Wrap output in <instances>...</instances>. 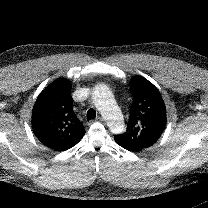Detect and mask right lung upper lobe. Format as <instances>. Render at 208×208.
Listing matches in <instances>:
<instances>
[{"label":"right lung upper lobe","instance_id":"right-lung-upper-lobe-1","mask_svg":"<svg viewBox=\"0 0 208 208\" xmlns=\"http://www.w3.org/2000/svg\"><path fill=\"white\" fill-rule=\"evenodd\" d=\"M71 87L67 79L53 81L39 94L32 110L34 134L54 151L73 147L85 134L73 110Z\"/></svg>","mask_w":208,"mask_h":208}]
</instances>
